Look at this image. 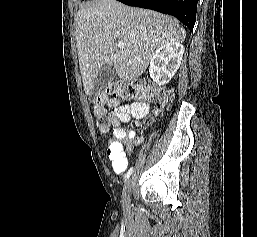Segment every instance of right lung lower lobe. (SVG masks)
I'll use <instances>...</instances> for the list:
<instances>
[{"instance_id": "98d812e1", "label": "right lung lower lobe", "mask_w": 257, "mask_h": 237, "mask_svg": "<svg viewBox=\"0 0 257 237\" xmlns=\"http://www.w3.org/2000/svg\"><path fill=\"white\" fill-rule=\"evenodd\" d=\"M126 5L152 9L175 16L190 31L196 21L198 0H118Z\"/></svg>"}]
</instances>
